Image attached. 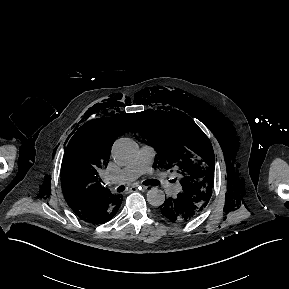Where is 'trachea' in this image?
<instances>
[{
  "label": "trachea",
  "instance_id": "obj_1",
  "mask_svg": "<svg viewBox=\"0 0 289 289\" xmlns=\"http://www.w3.org/2000/svg\"><path fill=\"white\" fill-rule=\"evenodd\" d=\"M143 184H144V185L156 186V185L159 184V182H158L157 180L151 179V180H146V181H144ZM124 190H125V187H124V186H119V187L117 188V191H118V192H123Z\"/></svg>",
  "mask_w": 289,
  "mask_h": 289
}]
</instances>
